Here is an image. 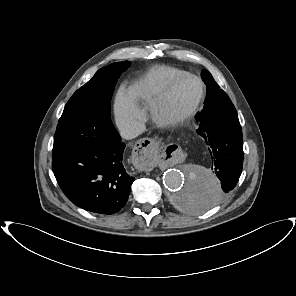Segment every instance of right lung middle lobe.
I'll use <instances>...</instances> for the list:
<instances>
[{"label": "right lung middle lobe", "mask_w": 296, "mask_h": 296, "mask_svg": "<svg viewBox=\"0 0 296 296\" xmlns=\"http://www.w3.org/2000/svg\"><path fill=\"white\" fill-rule=\"evenodd\" d=\"M129 66V61L105 66L73 94L56 128L53 155L110 145L117 140L110 118V101L117 79Z\"/></svg>", "instance_id": "right-lung-middle-lobe-1"}]
</instances>
